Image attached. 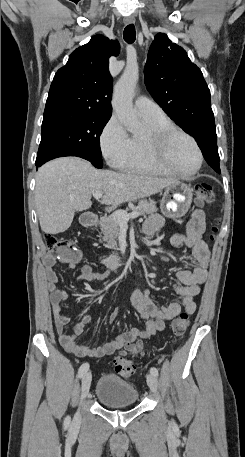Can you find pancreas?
Returning <instances> with one entry per match:
<instances>
[{"label":"pancreas","mask_w":245,"mask_h":457,"mask_svg":"<svg viewBox=\"0 0 245 457\" xmlns=\"http://www.w3.org/2000/svg\"><path fill=\"white\" fill-rule=\"evenodd\" d=\"M126 210H137L143 216L146 214H152L158 210L154 200H140L137 206H127ZM128 214V212H127ZM98 224L101 226V233L104 235L102 237L103 241H106L107 249H113V253L117 255L116 251H120L117 245V237L120 229V220L114 214H108V216H102ZM102 239H99V243H102Z\"/></svg>","instance_id":"pancreas-1"}]
</instances>
